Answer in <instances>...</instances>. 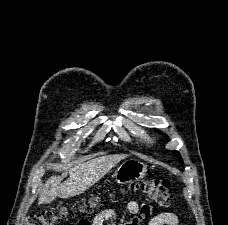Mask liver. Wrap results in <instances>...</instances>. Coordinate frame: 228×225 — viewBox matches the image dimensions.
I'll return each instance as SVG.
<instances>
[{"instance_id": "liver-1", "label": "liver", "mask_w": 228, "mask_h": 225, "mask_svg": "<svg viewBox=\"0 0 228 225\" xmlns=\"http://www.w3.org/2000/svg\"><path fill=\"white\" fill-rule=\"evenodd\" d=\"M122 159H126V155H106V157H97L80 165H73L68 169L70 175L68 181H63L67 173H63L61 177H50L40 191L39 205L52 203L56 197L70 199V197L81 195L107 175Z\"/></svg>"}]
</instances>
